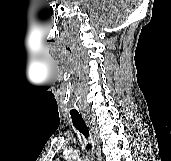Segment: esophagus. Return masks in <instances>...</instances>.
I'll return each mask as SVG.
<instances>
[{
	"mask_svg": "<svg viewBox=\"0 0 171 161\" xmlns=\"http://www.w3.org/2000/svg\"><path fill=\"white\" fill-rule=\"evenodd\" d=\"M83 117L85 119V122L91 126V130L93 133V139H94V156L96 161H102V154H101V142L100 137L98 134V129L95 127L93 123V119L90 115L83 113Z\"/></svg>",
	"mask_w": 171,
	"mask_h": 161,
	"instance_id": "obj_1",
	"label": "esophagus"
}]
</instances>
